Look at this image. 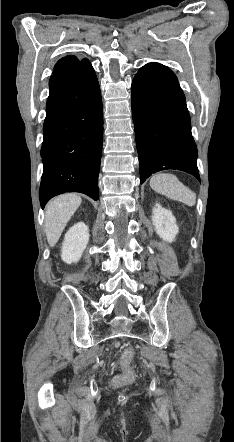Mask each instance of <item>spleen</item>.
Listing matches in <instances>:
<instances>
[{
    "label": "spleen",
    "instance_id": "1",
    "mask_svg": "<svg viewBox=\"0 0 234 442\" xmlns=\"http://www.w3.org/2000/svg\"><path fill=\"white\" fill-rule=\"evenodd\" d=\"M150 187L155 192L172 200H178L187 206H194L196 203V194L173 174L158 173L153 175L150 179Z\"/></svg>",
    "mask_w": 234,
    "mask_h": 442
}]
</instances>
